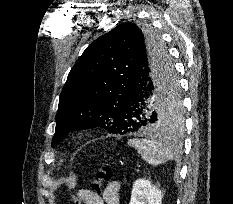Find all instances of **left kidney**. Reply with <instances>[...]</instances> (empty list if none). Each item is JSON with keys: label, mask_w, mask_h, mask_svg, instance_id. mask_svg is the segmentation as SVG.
I'll return each instance as SVG.
<instances>
[{"label": "left kidney", "mask_w": 233, "mask_h": 204, "mask_svg": "<svg viewBox=\"0 0 233 204\" xmlns=\"http://www.w3.org/2000/svg\"><path fill=\"white\" fill-rule=\"evenodd\" d=\"M162 191L146 179L135 181L130 204H161Z\"/></svg>", "instance_id": "obj_1"}]
</instances>
